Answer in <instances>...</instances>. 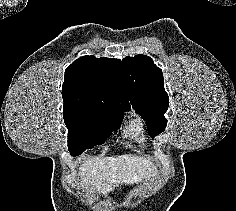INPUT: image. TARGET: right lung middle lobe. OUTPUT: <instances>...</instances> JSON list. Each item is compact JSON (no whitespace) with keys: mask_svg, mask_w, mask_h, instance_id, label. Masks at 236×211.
Wrapping results in <instances>:
<instances>
[{"mask_svg":"<svg viewBox=\"0 0 236 211\" xmlns=\"http://www.w3.org/2000/svg\"><path fill=\"white\" fill-rule=\"evenodd\" d=\"M124 111L92 109L63 110L68 129V150L71 156L103 144L114 130L120 127Z\"/></svg>","mask_w":236,"mask_h":211,"instance_id":"obj_1","label":"right lung middle lobe"}]
</instances>
